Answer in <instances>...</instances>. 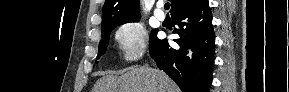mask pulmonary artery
<instances>
[{"instance_id":"obj_1","label":"pulmonary artery","mask_w":289,"mask_h":92,"mask_svg":"<svg viewBox=\"0 0 289 92\" xmlns=\"http://www.w3.org/2000/svg\"><path fill=\"white\" fill-rule=\"evenodd\" d=\"M160 6L161 5H159L158 8L154 11V15L159 21H163L165 19V14L160 9Z\"/></svg>"}]
</instances>
